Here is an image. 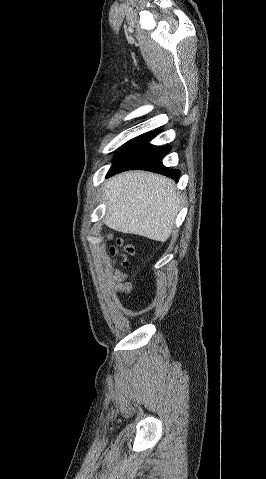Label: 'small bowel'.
<instances>
[{"label": "small bowel", "mask_w": 266, "mask_h": 479, "mask_svg": "<svg viewBox=\"0 0 266 479\" xmlns=\"http://www.w3.org/2000/svg\"><path fill=\"white\" fill-rule=\"evenodd\" d=\"M129 292H130V288L128 287V288L126 289V293H129Z\"/></svg>", "instance_id": "1"}]
</instances>
